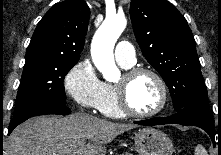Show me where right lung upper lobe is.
I'll list each match as a JSON object with an SVG mask.
<instances>
[{
    "mask_svg": "<svg viewBox=\"0 0 221 155\" xmlns=\"http://www.w3.org/2000/svg\"><path fill=\"white\" fill-rule=\"evenodd\" d=\"M90 9L84 0H65L52 6L38 23L25 59L78 61L84 48Z\"/></svg>",
    "mask_w": 221,
    "mask_h": 155,
    "instance_id": "obj_1",
    "label": "right lung upper lobe"
}]
</instances>
